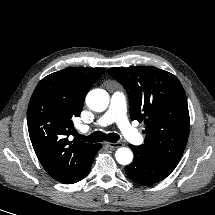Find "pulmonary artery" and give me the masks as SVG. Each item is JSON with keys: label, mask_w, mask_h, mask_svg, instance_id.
I'll return each mask as SVG.
<instances>
[{"label": "pulmonary artery", "mask_w": 215, "mask_h": 215, "mask_svg": "<svg viewBox=\"0 0 215 215\" xmlns=\"http://www.w3.org/2000/svg\"><path fill=\"white\" fill-rule=\"evenodd\" d=\"M116 123L124 137L133 144L143 142L142 135L128 121L126 116V97L123 92L116 91L112 94L108 110L95 122V126L105 127ZM88 125H82L80 130L87 132Z\"/></svg>", "instance_id": "e3ab8cb5"}]
</instances>
